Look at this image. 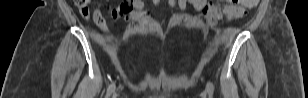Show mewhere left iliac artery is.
Masks as SVG:
<instances>
[{"label":"left iliac artery","mask_w":308,"mask_h":98,"mask_svg":"<svg viewBox=\"0 0 308 98\" xmlns=\"http://www.w3.org/2000/svg\"><path fill=\"white\" fill-rule=\"evenodd\" d=\"M207 92L209 94V97H213V93H214V85L212 82H208L207 83Z\"/></svg>","instance_id":"44dca946"}]
</instances>
